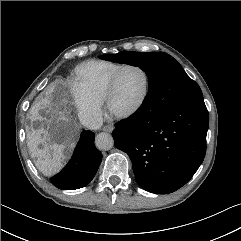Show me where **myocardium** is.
<instances>
[{
  "label": "myocardium",
  "mask_w": 241,
  "mask_h": 241,
  "mask_svg": "<svg viewBox=\"0 0 241 241\" xmlns=\"http://www.w3.org/2000/svg\"><path fill=\"white\" fill-rule=\"evenodd\" d=\"M129 68H137L143 72L144 77H145L144 89H143L141 97L139 98V100L133 107H131L130 109L123 111V112H116L112 107V97L114 95L119 76L121 75V73L124 70L129 69ZM149 91H150V75H149V72L147 71V69L140 64L127 63V64H124L121 68H119L114 73L112 78L110 79L106 93H105L104 101H105L107 109L110 111V113H112L116 117L122 118V119L130 118V117L134 116L135 114H137L142 109V107L144 106V104L148 98Z\"/></svg>",
  "instance_id": "f54148a6"
}]
</instances>
